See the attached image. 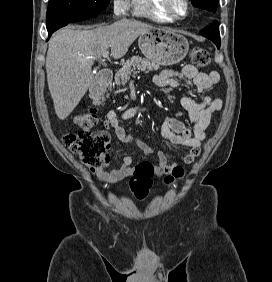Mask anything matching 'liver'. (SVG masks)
Returning a JSON list of instances; mask_svg holds the SVG:
<instances>
[{
	"mask_svg": "<svg viewBox=\"0 0 272 282\" xmlns=\"http://www.w3.org/2000/svg\"><path fill=\"white\" fill-rule=\"evenodd\" d=\"M152 28L123 18L92 30L60 29L49 41L45 65L57 117L67 118L92 85V65L97 58L109 47L114 59L122 58L137 37Z\"/></svg>",
	"mask_w": 272,
	"mask_h": 282,
	"instance_id": "liver-1",
	"label": "liver"
}]
</instances>
